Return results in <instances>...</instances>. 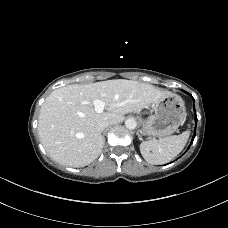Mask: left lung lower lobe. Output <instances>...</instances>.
Returning a JSON list of instances; mask_svg holds the SVG:
<instances>
[{
    "mask_svg": "<svg viewBox=\"0 0 228 228\" xmlns=\"http://www.w3.org/2000/svg\"><path fill=\"white\" fill-rule=\"evenodd\" d=\"M193 100H194V98H193ZM194 112H195V122L197 123V116H196L195 107H194ZM195 131H196V129H195ZM195 131H194V135H193V138H192V142H193L194 137H195Z\"/></svg>",
    "mask_w": 228,
    "mask_h": 228,
    "instance_id": "left-lung-lower-lobe-1",
    "label": "left lung lower lobe"
}]
</instances>
